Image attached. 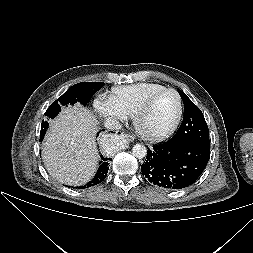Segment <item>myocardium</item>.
Instances as JSON below:
<instances>
[{
    "mask_svg": "<svg viewBox=\"0 0 253 253\" xmlns=\"http://www.w3.org/2000/svg\"><path fill=\"white\" fill-rule=\"evenodd\" d=\"M166 92H171L175 95L176 101H177V113L176 116L171 123V125L163 132L158 134H148L144 132L140 128V120L143 117V115L149 110L150 106L153 104V102L162 94ZM183 113V106H182V99L180 94L173 88H163L150 96H148L139 106V108L136 110L135 114L133 115V126L137 133L142 136L143 138L150 140V141H160L168 136H170L177 128V126L180 123L181 117Z\"/></svg>",
    "mask_w": 253,
    "mask_h": 253,
    "instance_id": "f54148a6",
    "label": "myocardium"
}]
</instances>
